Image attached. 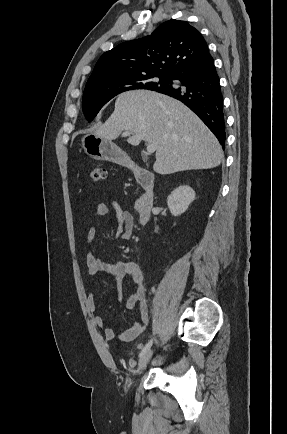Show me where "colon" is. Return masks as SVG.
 Instances as JSON below:
<instances>
[{"label": "colon", "instance_id": "obj_1", "mask_svg": "<svg viewBox=\"0 0 287 434\" xmlns=\"http://www.w3.org/2000/svg\"><path fill=\"white\" fill-rule=\"evenodd\" d=\"M90 179L93 183H98L106 176V169L100 166H94L89 171Z\"/></svg>", "mask_w": 287, "mask_h": 434}]
</instances>
